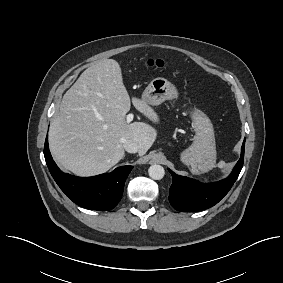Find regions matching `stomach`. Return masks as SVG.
I'll list each match as a JSON object with an SVG mask.
<instances>
[{"label": "stomach", "mask_w": 283, "mask_h": 283, "mask_svg": "<svg viewBox=\"0 0 283 283\" xmlns=\"http://www.w3.org/2000/svg\"><path fill=\"white\" fill-rule=\"evenodd\" d=\"M177 97L175 85L164 77L153 79L142 93V100L153 106ZM190 118L195 132L194 141L180 154V160L189 166L192 172L201 173L216 160L214 127L209 117L199 109H192Z\"/></svg>", "instance_id": "stomach-1"}]
</instances>
